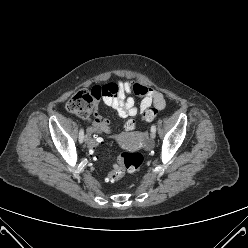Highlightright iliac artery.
Segmentation results:
<instances>
[{
    "label": "right iliac artery",
    "instance_id": "right-iliac-artery-1",
    "mask_svg": "<svg viewBox=\"0 0 248 248\" xmlns=\"http://www.w3.org/2000/svg\"><path fill=\"white\" fill-rule=\"evenodd\" d=\"M84 140V130L81 129L79 132V142L82 143Z\"/></svg>",
    "mask_w": 248,
    "mask_h": 248
}]
</instances>
